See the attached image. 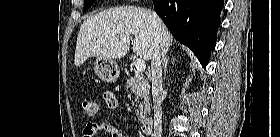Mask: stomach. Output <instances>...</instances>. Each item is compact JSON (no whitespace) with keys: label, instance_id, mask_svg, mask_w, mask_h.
I'll return each instance as SVG.
<instances>
[{"label":"stomach","instance_id":"1","mask_svg":"<svg viewBox=\"0 0 280 137\" xmlns=\"http://www.w3.org/2000/svg\"><path fill=\"white\" fill-rule=\"evenodd\" d=\"M96 75L105 82H114L118 79L120 70L117 63L111 59L97 57L94 62Z\"/></svg>","mask_w":280,"mask_h":137}]
</instances>
